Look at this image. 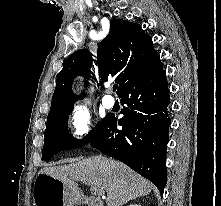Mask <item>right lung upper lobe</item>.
<instances>
[{"label":"right lung upper lobe","mask_w":221,"mask_h":206,"mask_svg":"<svg viewBox=\"0 0 221 206\" xmlns=\"http://www.w3.org/2000/svg\"><path fill=\"white\" fill-rule=\"evenodd\" d=\"M160 62L153 49L152 38L141 26L125 20L113 19L110 32L98 46L97 63L102 82L114 78L119 84L118 95L134 80ZM92 57L87 49L70 55L57 76L49 114L57 109L73 106L78 96L73 95V79L82 74L89 76ZM83 95L80 96V99Z\"/></svg>","instance_id":"cb5924a9"}]
</instances>
